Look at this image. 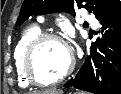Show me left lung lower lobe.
Segmentation results:
<instances>
[{"instance_id": "1", "label": "left lung lower lobe", "mask_w": 121, "mask_h": 94, "mask_svg": "<svg viewBox=\"0 0 121 94\" xmlns=\"http://www.w3.org/2000/svg\"><path fill=\"white\" fill-rule=\"evenodd\" d=\"M100 24L102 38L92 44L82 68L64 86L94 94H121V8Z\"/></svg>"}]
</instances>
